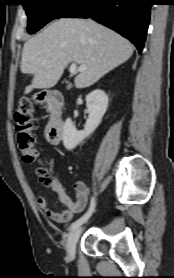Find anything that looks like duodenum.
<instances>
[{
  "label": "duodenum",
  "mask_w": 174,
  "mask_h": 278,
  "mask_svg": "<svg viewBox=\"0 0 174 278\" xmlns=\"http://www.w3.org/2000/svg\"><path fill=\"white\" fill-rule=\"evenodd\" d=\"M37 99L40 103L49 105L51 113L46 127V137L52 143H58L63 134L64 122L61 113L63 95L56 90H44L38 93Z\"/></svg>",
  "instance_id": "obj_1"
}]
</instances>
